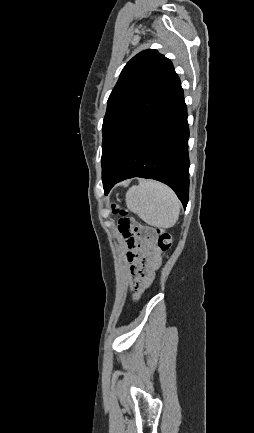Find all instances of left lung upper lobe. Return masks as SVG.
I'll use <instances>...</instances> for the list:
<instances>
[{
  "label": "left lung upper lobe",
  "mask_w": 254,
  "mask_h": 433,
  "mask_svg": "<svg viewBox=\"0 0 254 433\" xmlns=\"http://www.w3.org/2000/svg\"><path fill=\"white\" fill-rule=\"evenodd\" d=\"M177 79L171 61L153 49L138 53L125 65L109 96L102 126L103 183Z\"/></svg>",
  "instance_id": "left-lung-upper-lobe-1"
}]
</instances>
